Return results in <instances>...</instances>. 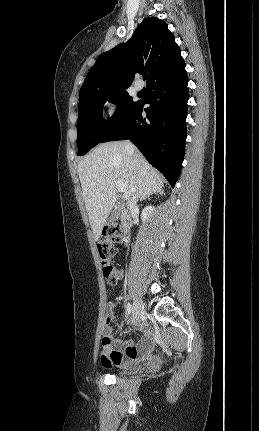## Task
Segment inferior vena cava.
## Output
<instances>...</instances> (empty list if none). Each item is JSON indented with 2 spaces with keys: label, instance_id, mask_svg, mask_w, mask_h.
<instances>
[{
  "label": "inferior vena cava",
  "instance_id": "602c4592",
  "mask_svg": "<svg viewBox=\"0 0 259 431\" xmlns=\"http://www.w3.org/2000/svg\"><path fill=\"white\" fill-rule=\"evenodd\" d=\"M125 149L128 152L133 153L134 152V145L130 142H126L125 143ZM136 203H137V196L133 195V197L128 201V208L130 210L134 209L136 207Z\"/></svg>",
  "mask_w": 259,
  "mask_h": 431
}]
</instances>
